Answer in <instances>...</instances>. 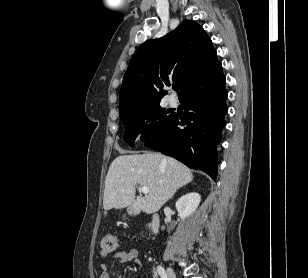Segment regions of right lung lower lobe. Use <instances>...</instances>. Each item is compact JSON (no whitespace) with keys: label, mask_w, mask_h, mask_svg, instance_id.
Listing matches in <instances>:
<instances>
[{"label":"right lung lower lobe","mask_w":308,"mask_h":278,"mask_svg":"<svg viewBox=\"0 0 308 278\" xmlns=\"http://www.w3.org/2000/svg\"><path fill=\"white\" fill-rule=\"evenodd\" d=\"M225 77L185 94L180 100L185 117L174 115L169 125L145 145L172 156L193 169H201L213 180L217 174L216 145L227 113ZM185 126L184 129L179 126Z\"/></svg>","instance_id":"right-lung-lower-lobe-1"}]
</instances>
